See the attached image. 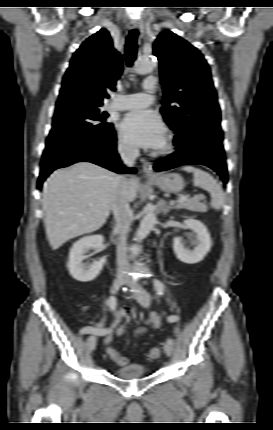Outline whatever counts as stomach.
<instances>
[{
  "label": "stomach",
  "instance_id": "1",
  "mask_svg": "<svg viewBox=\"0 0 273 430\" xmlns=\"http://www.w3.org/2000/svg\"><path fill=\"white\" fill-rule=\"evenodd\" d=\"M150 178L165 192L178 193L184 187V181L177 173L158 174Z\"/></svg>",
  "mask_w": 273,
  "mask_h": 430
}]
</instances>
